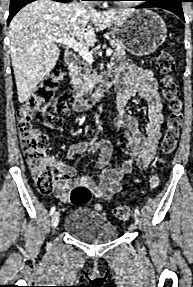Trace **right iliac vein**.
I'll return each instance as SVG.
<instances>
[{"label":"right iliac vein","mask_w":193,"mask_h":287,"mask_svg":"<svg viewBox=\"0 0 193 287\" xmlns=\"http://www.w3.org/2000/svg\"><path fill=\"white\" fill-rule=\"evenodd\" d=\"M59 220H60V214H59V212H55L52 216V219H51V226H52L53 230L58 226Z\"/></svg>","instance_id":"63e3f726"}]
</instances>
